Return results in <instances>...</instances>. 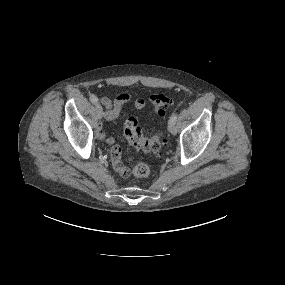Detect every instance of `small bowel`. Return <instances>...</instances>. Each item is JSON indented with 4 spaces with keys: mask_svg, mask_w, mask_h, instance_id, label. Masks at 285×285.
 <instances>
[{
    "mask_svg": "<svg viewBox=\"0 0 285 285\" xmlns=\"http://www.w3.org/2000/svg\"><path fill=\"white\" fill-rule=\"evenodd\" d=\"M100 102L106 109L104 118L108 121L116 119L123 106L128 103H132L137 109H142L145 106V100L143 98L134 99L128 92L121 93L114 99L102 97ZM96 135L99 139L105 140L109 145H111V163L115 172L121 177H127L130 174V170L123 164L121 160V149L115 143L114 138L108 137L101 127L97 128Z\"/></svg>",
    "mask_w": 285,
    "mask_h": 285,
    "instance_id": "small-bowel-1",
    "label": "small bowel"
}]
</instances>
